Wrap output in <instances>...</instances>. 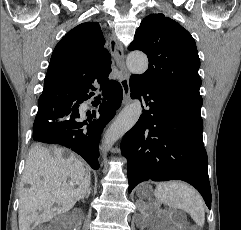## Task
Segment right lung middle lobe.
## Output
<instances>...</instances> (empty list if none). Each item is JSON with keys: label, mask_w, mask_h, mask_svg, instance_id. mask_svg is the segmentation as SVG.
Returning a JSON list of instances; mask_svg holds the SVG:
<instances>
[{"label": "right lung middle lobe", "mask_w": 241, "mask_h": 230, "mask_svg": "<svg viewBox=\"0 0 241 230\" xmlns=\"http://www.w3.org/2000/svg\"><path fill=\"white\" fill-rule=\"evenodd\" d=\"M68 101H70V100H68ZM63 102H65V101H63ZM63 102H60V103H63ZM60 103H53V105H55V104H60Z\"/></svg>", "instance_id": "dd1d6c3e"}]
</instances>
